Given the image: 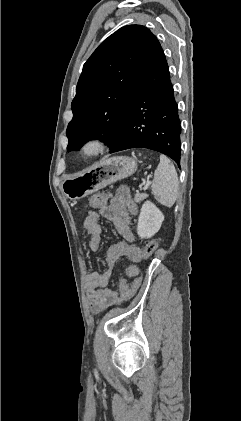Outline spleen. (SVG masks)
Instances as JSON below:
<instances>
[{
  "mask_svg": "<svg viewBox=\"0 0 241 421\" xmlns=\"http://www.w3.org/2000/svg\"><path fill=\"white\" fill-rule=\"evenodd\" d=\"M155 199L166 207H172L177 199L179 182L174 165L165 155H160V163L155 170L152 182Z\"/></svg>",
  "mask_w": 241,
  "mask_h": 421,
  "instance_id": "spleen-1",
  "label": "spleen"
}]
</instances>
